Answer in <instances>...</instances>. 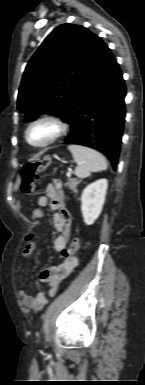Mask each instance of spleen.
Here are the masks:
<instances>
[{
    "label": "spleen",
    "instance_id": "obj_1",
    "mask_svg": "<svg viewBox=\"0 0 145 385\" xmlns=\"http://www.w3.org/2000/svg\"><path fill=\"white\" fill-rule=\"evenodd\" d=\"M68 149L73 155L74 161L78 164L75 174L79 178H86L91 172H99L107 169L106 159L96 150L82 145L72 144Z\"/></svg>",
    "mask_w": 145,
    "mask_h": 385
}]
</instances>
